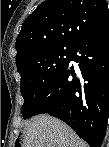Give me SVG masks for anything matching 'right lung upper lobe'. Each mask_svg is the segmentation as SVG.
<instances>
[{
    "label": "right lung upper lobe",
    "mask_w": 109,
    "mask_h": 147,
    "mask_svg": "<svg viewBox=\"0 0 109 147\" xmlns=\"http://www.w3.org/2000/svg\"><path fill=\"white\" fill-rule=\"evenodd\" d=\"M108 20L105 0H48L41 3L23 22L17 37V67L26 65L45 49H73Z\"/></svg>",
    "instance_id": "cb5924a9"
}]
</instances>
